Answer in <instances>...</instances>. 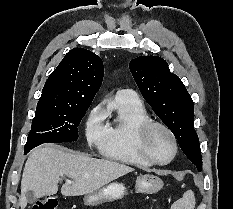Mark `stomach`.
Returning <instances> with one entry per match:
<instances>
[{
	"mask_svg": "<svg viewBox=\"0 0 233 209\" xmlns=\"http://www.w3.org/2000/svg\"><path fill=\"white\" fill-rule=\"evenodd\" d=\"M162 187V180L152 174H140L135 183L136 192L144 194L157 193ZM126 194V188L122 183L113 182L102 189L86 194L83 201L87 206H97L105 202L121 199Z\"/></svg>",
	"mask_w": 233,
	"mask_h": 209,
	"instance_id": "obj_1",
	"label": "stomach"
}]
</instances>
